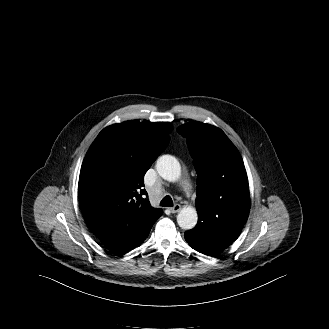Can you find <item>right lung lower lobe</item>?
<instances>
[{"mask_svg":"<svg viewBox=\"0 0 329 329\" xmlns=\"http://www.w3.org/2000/svg\"><path fill=\"white\" fill-rule=\"evenodd\" d=\"M156 220L157 218L142 228L112 232L104 238H101L100 241L112 253L118 256L124 255L129 250L138 247L143 243Z\"/></svg>","mask_w":329,"mask_h":329,"instance_id":"1","label":"right lung lower lobe"}]
</instances>
